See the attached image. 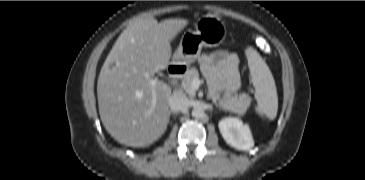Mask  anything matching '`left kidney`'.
<instances>
[{"instance_id":"5707ae66","label":"left kidney","mask_w":365,"mask_h":180,"mask_svg":"<svg viewBox=\"0 0 365 180\" xmlns=\"http://www.w3.org/2000/svg\"><path fill=\"white\" fill-rule=\"evenodd\" d=\"M219 130L224 140L237 150H250L254 141L248 125H244L238 118L228 117L222 119Z\"/></svg>"}]
</instances>
